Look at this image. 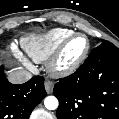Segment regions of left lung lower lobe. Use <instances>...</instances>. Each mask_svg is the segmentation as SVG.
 I'll return each instance as SVG.
<instances>
[{
    "mask_svg": "<svg viewBox=\"0 0 119 119\" xmlns=\"http://www.w3.org/2000/svg\"><path fill=\"white\" fill-rule=\"evenodd\" d=\"M58 119H119V49L104 41L53 90Z\"/></svg>",
    "mask_w": 119,
    "mask_h": 119,
    "instance_id": "0a47b994",
    "label": "left lung lower lobe"
}]
</instances>
